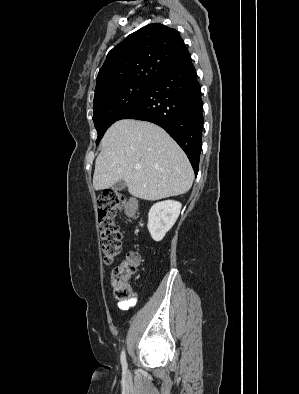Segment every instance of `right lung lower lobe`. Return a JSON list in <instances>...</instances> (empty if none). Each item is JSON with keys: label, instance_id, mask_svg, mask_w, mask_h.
I'll use <instances>...</instances> for the list:
<instances>
[{"label": "right lung lower lobe", "instance_id": "right-lung-lower-lobe-1", "mask_svg": "<svg viewBox=\"0 0 299 394\" xmlns=\"http://www.w3.org/2000/svg\"><path fill=\"white\" fill-rule=\"evenodd\" d=\"M202 107L201 87L189 54L159 75L120 119L145 120L161 126L184 150L197 174Z\"/></svg>", "mask_w": 299, "mask_h": 394}]
</instances>
